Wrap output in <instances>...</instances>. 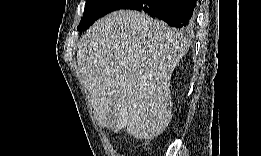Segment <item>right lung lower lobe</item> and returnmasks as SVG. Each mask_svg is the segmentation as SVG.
<instances>
[{
  "mask_svg": "<svg viewBox=\"0 0 261 156\" xmlns=\"http://www.w3.org/2000/svg\"><path fill=\"white\" fill-rule=\"evenodd\" d=\"M196 0H129L120 9L138 10L157 17L176 28L193 24Z\"/></svg>",
  "mask_w": 261,
  "mask_h": 156,
  "instance_id": "98d812e1",
  "label": "right lung lower lobe"
}]
</instances>
